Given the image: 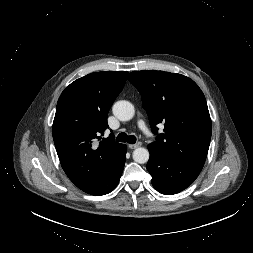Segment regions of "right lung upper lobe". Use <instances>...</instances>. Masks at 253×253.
I'll return each instance as SVG.
<instances>
[{
  "label": "right lung upper lobe",
  "mask_w": 253,
  "mask_h": 253,
  "mask_svg": "<svg viewBox=\"0 0 253 253\" xmlns=\"http://www.w3.org/2000/svg\"><path fill=\"white\" fill-rule=\"evenodd\" d=\"M128 72H95L75 80L57 102L52 132L63 170L81 190L96 185L124 144L101 135L109 128V109L122 91Z\"/></svg>",
  "instance_id": "1"
}]
</instances>
